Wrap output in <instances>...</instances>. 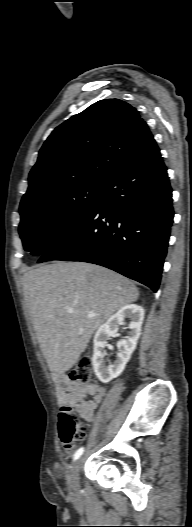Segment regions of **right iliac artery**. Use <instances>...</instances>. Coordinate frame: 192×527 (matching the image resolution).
<instances>
[{"mask_svg": "<svg viewBox=\"0 0 192 527\" xmlns=\"http://www.w3.org/2000/svg\"><path fill=\"white\" fill-rule=\"evenodd\" d=\"M83 452H84V447L79 448V449L75 452L73 459H74V460H77V459L83 454Z\"/></svg>", "mask_w": 192, "mask_h": 527, "instance_id": "right-iliac-artery-1", "label": "right iliac artery"}]
</instances>
